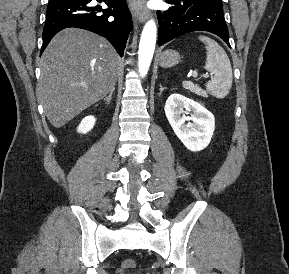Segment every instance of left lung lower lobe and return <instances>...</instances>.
<instances>
[{
    "instance_id": "0a47b994",
    "label": "left lung lower lobe",
    "mask_w": 289,
    "mask_h": 274,
    "mask_svg": "<svg viewBox=\"0 0 289 274\" xmlns=\"http://www.w3.org/2000/svg\"><path fill=\"white\" fill-rule=\"evenodd\" d=\"M161 13L158 45L193 31H208L218 35L230 47L228 28L224 19L222 2L213 0H180Z\"/></svg>"
}]
</instances>
